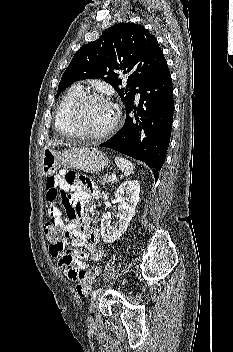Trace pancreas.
Segmentation results:
<instances>
[{
  "label": "pancreas",
  "instance_id": "1",
  "mask_svg": "<svg viewBox=\"0 0 233 352\" xmlns=\"http://www.w3.org/2000/svg\"><path fill=\"white\" fill-rule=\"evenodd\" d=\"M100 183L104 185L105 183H114L110 176L104 175L101 177Z\"/></svg>",
  "mask_w": 233,
  "mask_h": 352
}]
</instances>
